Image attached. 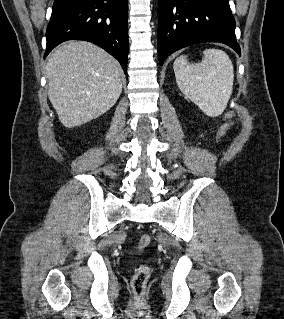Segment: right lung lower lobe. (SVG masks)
<instances>
[{
  "label": "right lung lower lobe",
  "instance_id": "obj_1",
  "mask_svg": "<svg viewBox=\"0 0 284 319\" xmlns=\"http://www.w3.org/2000/svg\"><path fill=\"white\" fill-rule=\"evenodd\" d=\"M44 58L67 40L92 42L127 72L128 0H54Z\"/></svg>",
  "mask_w": 284,
  "mask_h": 319
}]
</instances>
